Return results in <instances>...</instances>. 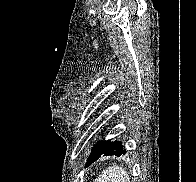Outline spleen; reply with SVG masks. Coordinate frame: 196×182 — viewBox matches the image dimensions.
Listing matches in <instances>:
<instances>
[{"mask_svg": "<svg viewBox=\"0 0 196 182\" xmlns=\"http://www.w3.org/2000/svg\"><path fill=\"white\" fill-rule=\"evenodd\" d=\"M95 182H130L127 172L119 166L105 169Z\"/></svg>", "mask_w": 196, "mask_h": 182, "instance_id": "obj_1", "label": "spleen"}]
</instances>
